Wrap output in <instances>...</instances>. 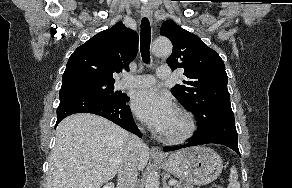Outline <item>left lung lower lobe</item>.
I'll return each instance as SVG.
<instances>
[{
    "instance_id": "0a47b994",
    "label": "left lung lower lobe",
    "mask_w": 292,
    "mask_h": 188,
    "mask_svg": "<svg viewBox=\"0 0 292 188\" xmlns=\"http://www.w3.org/2000/svg\"><path fill=\"white\" fill-rule=\"evenodd\" d=\"M215 143L227 146L240 154L237 145V133L234 115H227L212 121L202 129H198L195 137L187 144L176 147H165L164 151H174L185 147Z\"/></svg>"
}]
</instances>
